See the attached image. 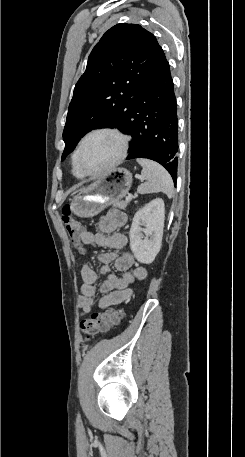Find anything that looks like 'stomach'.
Returning <instances> with one entry per match:
<instances>
[{"instance_id":"0dacf381","label":"stomach","mask_w":245,"mask_h":457,"mask_svg":"<svg viewBox=\"0 0 245 457\" xmlns=\"http://www.w3.org/2000/svg\"><path fill=\"white\" fill-rule=\"evenodd\" d=\"M133 176L127 168H113L74 196L70 208L77 216L91 218L105 206L121 200L127 194Z\"/></svg>"}]
</instances>
